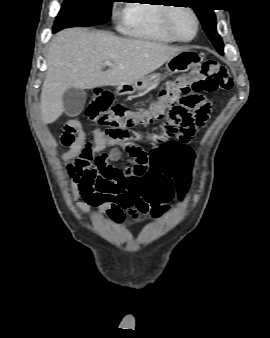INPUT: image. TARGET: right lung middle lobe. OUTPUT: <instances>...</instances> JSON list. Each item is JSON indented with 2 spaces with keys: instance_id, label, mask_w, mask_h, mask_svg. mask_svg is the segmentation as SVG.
Masks as SVG:
<instances>
[{
  "instance_id": "dd1d6c3e",
  "label": "right lung middle lobe",
  "mask_w": 270,
  "mask_h": 338,
  "mask_svg": "<svg viewBox=\"0 0 270 338\" xmlns=\"http://www.w3.org/2000/svg\"><path fill=\"white\" fill-rule=\"evenodd\" d=\"M115 0H64L53 32L73 26H95L110 20Z\"/></svg>"
}]
</instances>
